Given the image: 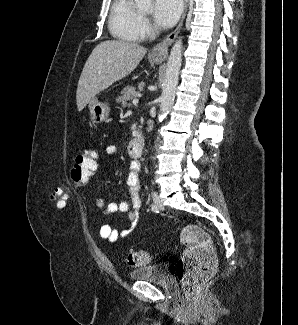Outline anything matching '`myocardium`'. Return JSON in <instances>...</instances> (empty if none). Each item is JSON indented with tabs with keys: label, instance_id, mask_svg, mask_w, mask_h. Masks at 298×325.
<instances>
[{
	"label": "myocardium",
	"instance_id": "obj_1",
	"mask_svg": "<svg viewBox=\"0 0 298 325\" xmlns=\"http://www.w3.org/2000/svg\"><path fill=\"white\" fill-rule=\"evenodd\" d=\"M135 10L140 18L146 16L147 12L142 10V8L139 5V2H136L135 4Z\"/></svg>",
	"mask_w": 298,
	"mask_h": 325
}]
</instances>
